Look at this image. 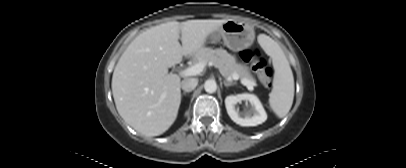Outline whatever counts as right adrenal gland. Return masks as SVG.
Masks as SVG:
<instances>
[{
	"mask_svg": "<svg viewBox=\"0 0 406 168\" xmlns=\"http://www.w3.org/2000/svg\"><path fill=\"white\" fill-rule=\"evenodd\" d=\"M182 95H187V93H186V92H183Z\"/></svg>",
	"mask_w": 406,
	"mask_h": 168,
	"instance_id": "obj_1",
	"label": "right adrenal gland"
}]
</instances>
